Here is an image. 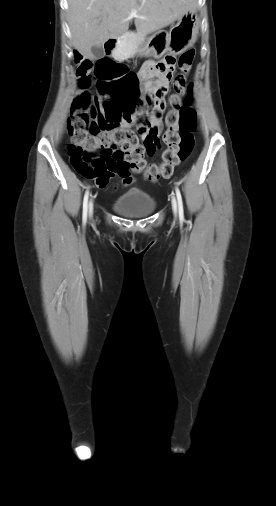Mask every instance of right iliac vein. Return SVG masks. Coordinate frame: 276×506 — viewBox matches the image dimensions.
I'll return each instance as SVG.
<instances>
[{"instance_id":"obj_1","label":"right iliac vein","mask_w":276,"mask_h":506,"mask_svg":"<svg viewBox=\"0 0 276 506\" xmlns=\"http://www.w3.org/2000/svg\"><path fill=\"white\" fill-rule=\"evenodd\" d=\"M93 213V201L91 200L89 203V215L91 216Z\"/></svg>"}]
</instances>
